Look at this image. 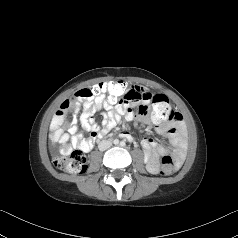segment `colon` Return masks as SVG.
<instances>
[{"mask_svg":"<svg viewBox=\"0 0 238 238\" xmlns=\"http://www.w3.org/2000/svg\"><path fill=\"white\" fill-rule=\"evenodd\" d=\"M128 90L127 84L123 81L104 80L102 83L77 91L72 100L89 101L94 98H101L109 102L119 103L124 99ZM150 114L158 122H168L175 117L176 112L172 109L167 97L164 95H155L152 100ZM54 164L61 171L71 174H82L87 169V158L83 150L79 149L56 157ZM176 169V159L169 154L164 155L161 160L160 173L162 175H171Z\"/></svg>","mask_w":238,"mask_h":238,"instance_id":"colon-1","label":"colon"}]
</instances>
